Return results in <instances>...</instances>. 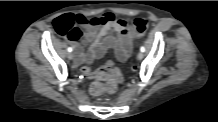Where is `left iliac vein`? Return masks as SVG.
Listing matches in <instances>:
<instances>
[{"label":"left iliac vein","instance_id":"4c4485c4","mask_svg":"<svg viewBox=\"0 0 218 122\" xmlns=\"http://www.w3.org/2000/svg\"><path fill=\"white\" fill-rule=\"evenodd\" d=\"M143 57H144V55H143V53L140 51V52L138 53V55H137V58H138L139 60H142Z\"/></svg>","mask_w":218,"mask_h":122}]
</instances>
